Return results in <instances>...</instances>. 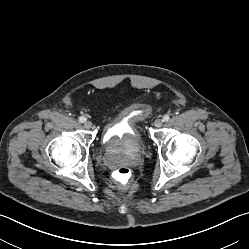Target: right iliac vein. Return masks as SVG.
Instances as JSON below:
<instances>
[{"instance_id":"1","label":"right iliac vein","mask_w":249,"mask_h":249,"mask_svg":"<svg viewBox=\"0 0 249 249\" xmlns=\"http://www.w3.org/2000/svg\"><path fill=\"white\" fill-rule=\"evenodd\" d=\"M84 127H85L86 129L92 128V122L89 121V120L85 121V122H84Z\"/></svg>"}]
</instances>
